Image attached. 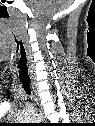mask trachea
I'll return each mask as SVG.
<instances>
[{"label":"trachea","mask_w":95,"mask_h":126,"mask_svg":"<svg viewBox=\"0 0 95 126\" xmlns=\"http://www.w3.org/2000/svg\"><path fill=\"white\" fill-rule=\"evenodd\" d=\"M18 68H19V77L20 81L22 83V86L25 90V92L30 95L31 94V89H30V78L28 75V66H27V58L26 55L23 57L21 54L20 61L18 63Z\"/></svg>","instance_id":"obj_1"}]
</instances>
